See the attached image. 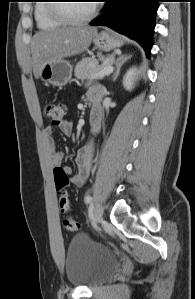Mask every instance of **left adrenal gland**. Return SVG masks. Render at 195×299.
Masks as SVG:
<instances>
[{"mask_svg":"<svg viewBox=\"0 0 195 299\" xmlns=\"http://www.w3.org/2000/svg\"><path fill=\"white\" fill-rule=\"evenodd\" d=\"M131 55H122L120 56L116 61H115V67L116 70L113 74V81H115L120 73V69L122 67V65L128 60L130 59Z\"/></svg>","mask_w":195,"mask_h":299,"instance_id":"a2214340","label":"left adrenal gland"}]
</instances>
